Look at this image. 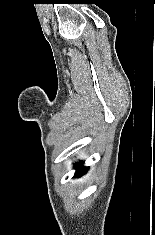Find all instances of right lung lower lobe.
Instances as JSON below:
<instances>
[{
	"label": "right lung lower lobe",
	"instance_id": "right-lung-lower-lobe-1",
	"mask_svg": "<svg viewBox=\"0 0 155 235\" xmlns=\"http://www.w3.org/2000/svg\"><path fill=\"white\" fill-rule=\"evenodd\" d=\"M88 170L87 167H84L82 165V163H77L76 165V173H75V176L74 177H79L81 175H83L84 173H86Z\"/></svg>",
	"mask_w": 155,
	"mask_h": 235
}]
</instances>
